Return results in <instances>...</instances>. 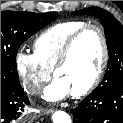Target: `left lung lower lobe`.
<instances>
[{
    "instance_id": "left-lung-lower-lobe-1",
    "label": "left lung lower lobe",
    "mask_w": 123,
    "mask_h": 123,
    "mask_svg": "<svg viewBox=\"0 0 123 123\" xmlns=\"http://www.w3.org/2000/svg\"><path fill=\"white\" fill-rule=\"evenodd\" d=\"M71 112L73 123H123V83L95 89Z\"/></svg>"
}]
</instances>
